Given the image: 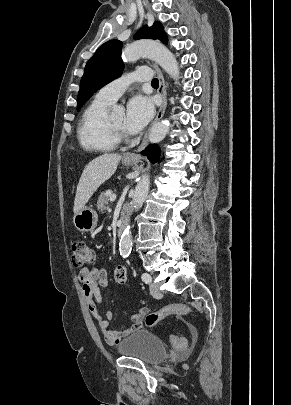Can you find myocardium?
Here are the masks:
<instances>
[{
    "mask_svg": "<svg viewBox=\"0 0 291 405\" xmlns=\"http://www.w3.org/2000/svg\"><path fill=\"white\" fill-rule=\"evenodd\" d=\"M107 123L109 131L117 143H126L131 140L130 136L125 130L115 127L109 119L107 120Z\"/></svg>",
    "mask_w": 291,
    "mask_h": 405,
    "instance_id": "obj_1",
    "label": "myocardium"
}]
</instances>
